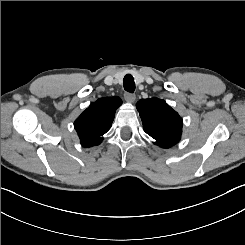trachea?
<instances>
[{
  "instance_id": "trachea-1",
  "label": "trachea",
  "mask_w": 245,
  "mask_h": 245,
  "mask_svg": "<svg viewBox=\"0 0 245 245\" xmlns=\"http://www.w3.org/2000/svg\"><path fill=\"white\" fill-rule=\"evenodd\" d=\"M123 86L126 92L133 93L135 91V83L132 75L127 74L123 79Z\"/></svg>"
}]
</instances>
